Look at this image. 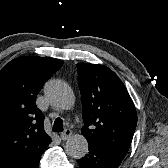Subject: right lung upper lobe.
Listing matches in <instances>:
<instances>
[{"mask_svg": "<svg viewBox=\"0 0 168 168\" xmlns=\"http://www.w3.org/2000/svg\"><path fill=\"white\" fill-rule=\"evenodd\" d=\"M63 61L24 56L0 71V168H38L51 138L36 95Z\"/></svg>", "mask_w": 168, "mask_h": 168, "instance_id": "right-lung-upper-lobe-1", "label": "right lung upper lobe"}]
</instances>
